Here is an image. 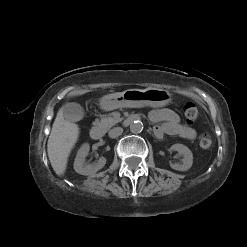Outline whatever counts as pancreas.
Segmentation results:
<instances>
[{
  "label": "pancreas",
  "mask_w": 247,
  "mask_h": 247,
  "mask_svg": "<svg viewBox=\"0 0 247 247\" xmlns=\"http://www.w3.org/2000/svg\"><path fill=\"white\" fill-rule=\"evenodd\" d=\"M121 120L122 118L116 114H113L111 116H103L100 121H96L95 123L103 129L108 130Z\"/></svg>",
  "instance_id": "obj_1"
}]
</instances>
